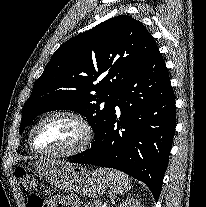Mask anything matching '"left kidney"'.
Here are the masks:
<instances>
[{"instance_id":"1","label":"left kidney","mask_w":206,"mask_h":207,"mask_svg":"<svg viewBox=\"0 0 206 207\" xmlns=\"http://www.w3.org/2000/svg\"><path fill=\"white\" fill-rule=\"evenodd\" d=\"M119 207H143V206L138 200H135L134 198H128L127 200H125V202L120 204Z\"/></svg>"}]
</instances>
